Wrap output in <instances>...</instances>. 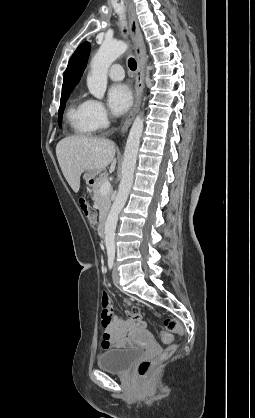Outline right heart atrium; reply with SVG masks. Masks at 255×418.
Instances as JSON below:
<instances>
[{
	"instance_id": "obj_1",
	"label": "right heart atrium",
	"mask_w": 255,
	"mask_h": 418,
	"mask_svg": "<svg viewBox=\"0 0 255 418\" xmlns=\"http://www.w3.org/2000/svg\"><path fill=\"white\" fill-rule=\"evenodd\" d=\"M89 113L92 125L95 130L104 129L109 124V115L101 101H89Z\"/></svg>"
}]
</instances>
